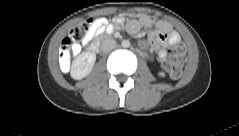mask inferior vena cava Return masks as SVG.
I'll return each mask as SVG.
<instances>
[{
    "instance_id": "obj_1",
    "label": "inferior vena cava",
    "mask_w": 239,
    "mask_h": 136,
    "mask_svg": "<svg viewBox=\"0 0 239 136\" xmlns=\"http://www.w3.org/2000/svg\"><path fill=\"white\" fill-rule=\"evenodd\" d=\"M100 47L103 52H110L116 47V41L111 38L104 39Z\"/></svg>"
}]
</instances>
